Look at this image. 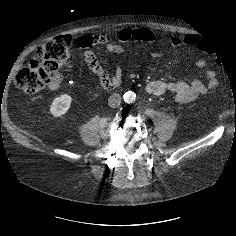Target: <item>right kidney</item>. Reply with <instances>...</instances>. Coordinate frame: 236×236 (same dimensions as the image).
<instances>
[{
    "label": "right kidney",
    "mask_w": 236,
    "mask_h": 236,
    "mask_svg": "<svg viewBox=\"0 0 236 236\" xmlns=\"http://www.w3.org/2000/svg\"><path fill=\"white\" fill-rule=\"evenodd\" d=\"M72 97L68 94H62L54 98L50 106V113L54 117H60L70 108Z\"/></svg>",
    "instance_id": "right-kidney-1"
}]
</instances>
